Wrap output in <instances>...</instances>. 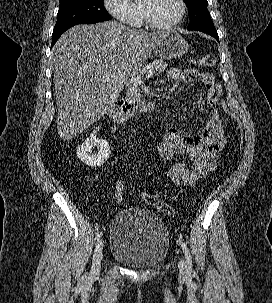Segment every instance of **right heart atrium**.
Here are the masks:
<instances>
[{
	"mask_svg": "<svg viewBox=\"0 0 272 303\" xmlns=\"http://www.w3.org/2000/svg\"><path fill=\"white\" fill-rule=\"evenodd\" d=\"M107 11L121 22L133 24V2L131 0H104Z\"/></svg>",
	"mask_w": 272,
	"mask_h": 303,
	"instance_id": "right-heart-atrium-1",
	"label": "right heart atrium"
}]
</instances>
